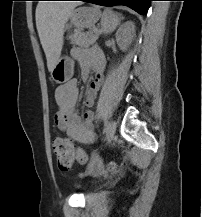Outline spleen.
<instances>
[{
  "label": "spleen",
  "instance_id": "spleen-1",
  "mask_svg": "<svg viewBox=\"0 0 202 217\" xmlns=\"http://www.w3.org/2000/svg\"><path fill=\"white\" fill-rule=\"evenodd\" d=\"M119 24L118 16L111 10H105L101 18V27L104 33L114 31Z\"/></svg>",
  "mask_w": 202,
  "mask_h": 217
}]
</instances>
